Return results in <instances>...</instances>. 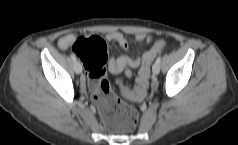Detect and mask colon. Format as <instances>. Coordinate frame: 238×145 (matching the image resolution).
I'll return each instance as SVG.
<instances>
[{"label":"colon","instance_id":"5ec220e1","mask_svg":"<svg viewBox=\"0 0 238 145\" xmlns=\"http://www.w3.org/2000/svg\"><path fill=\"white\" fill-rule=\"evenodd\" d=\"M164 46L165 42L160 41L143 55L137 86L133 90L124 85L121 86L127 98L140 101L145 97L152 61ZM72 49L85 66L92 99L106 127L113 132H126L134 129L138 121L137 111L114 94L105 77L107 62L105 42L97 36L77 37Z\"/></svg>","mask_w":238,"mask_h":145}]
</instances>
